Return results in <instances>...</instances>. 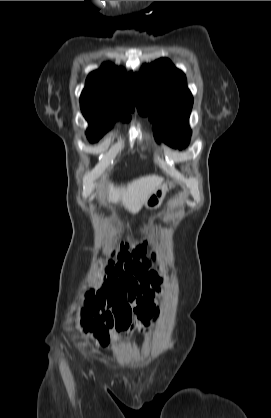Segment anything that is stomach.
Masks as SVG:
<instances>
[{
	"instance_id": "obj_1",
	"label": "stomach",
	"mask_w": 271,
	"mask_h": 418,
	"mask_svg": "<svg viewBox=\"0 0 271 418\" xmlns=\"http://www.w3.org/2000/svg\"><path fill=\"white\" fill-rule=\"evenodd\" d=\"M168 191V185L166 183H162L160 187L156 189L154 193H152L149 198L145 202V207L147 209H156L161 206L165 195Z\"/></svg>"
}]
</instances>
